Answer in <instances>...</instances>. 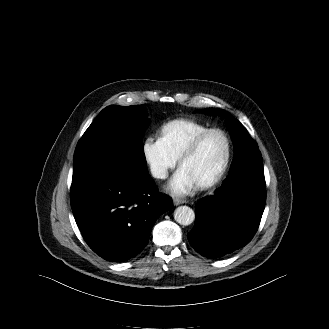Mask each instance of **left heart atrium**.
<instances>
[{
  "mask_svg": "<svg viewBox=\"0 0 329 329\" xmlns=\"http://www.w3.org/2000/svg\"><path fill=\"white\" fill-rule=\"evenodd\" d=\"M197 187L198 184L181 167L176 171L168 185L169 190L179 196L188 195Z\"/></svg>",
  "mask_w": 329,
  "mask_h": 329,
  "instance_id": "1",
  "label": "left heart atrium"
}]
</instances>
